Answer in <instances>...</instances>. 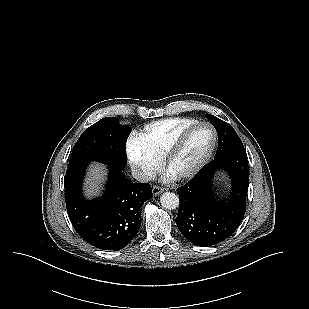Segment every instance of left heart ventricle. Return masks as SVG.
I'll return each mask as SVG.
<instances>
[{
	"label": "left heart ventricle",
	"mask_w": 309,
	"mask_h": 309,
	"mask_svg": "<svg viewBox=\"0 0 309 309\" xmlns=\"http://www.w3.org/2000/svg\"><path fill=\"white\" fill-rule=\"evenodd\" d=\"M212 142V133L206 126L196 127L183 149L173 160L170 173L185 171L196 164L207 152Z\"/></svg>",
	"instance_id": "1"
}]
</instances>
